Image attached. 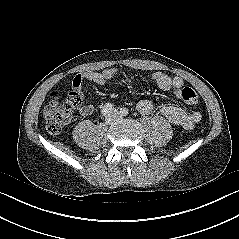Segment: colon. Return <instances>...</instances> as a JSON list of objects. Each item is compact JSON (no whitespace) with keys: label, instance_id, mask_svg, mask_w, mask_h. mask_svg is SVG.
<instances>
[{"label":"colon","instance_id":"1","mask_svg":"<svg viewBox=\"0 0 239 239\" xmlns=\"http://www.w3.org/2000/svg\"><path fill=\"white\" fill-rule=\"evenodd\" d=\"M181 98L188 105H195L198 102V95L191 87L182 88ZM79 105L80 100L72 90L65 97L55 94L43 112L47 130L52 134L60 133L71 122L73 112Z\"/></svg>","mask_w":239,"mask_h":239}]
</instances>
